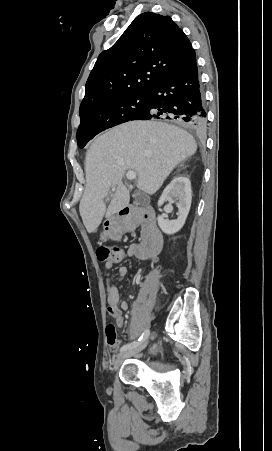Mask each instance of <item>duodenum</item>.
I'll return each mask as SVG.
<instances>
[{"label": "duodenum", "instance_id": "obj_1", "mask_svg": "<svg viewBox=\"0 0 272 451\" xmlns=\"http://www.w3.org/2000/svg\"><path fill=\"white\" fill-rule=\"evenodd\" d=\"M107 225V232L113 239H120L126 233L141 226L143 239L140 244L135 245L131 254L138 258L145 259L156 256L163 246V237L159 231L150 206L138 209L135 207H125L121 210L119 218L111 220Z\"/></svg>", "mask_w": 272, "mask_h": 451}]
</instances>
